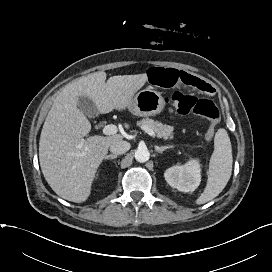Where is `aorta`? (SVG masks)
Here are the masks:
<instances>
[{"instance_id":"762f6f07","label":"aorta","mask_w":272,"mask_h":272,"mask_svg":"<svg viewBox=\"0 0 272 272\" xmlns=\"http://www.w3.org/2000/svg\"><path fill=\"white\" fill-rule=\"evenodd\" d=\"M134 156H135L136 161H138L140 163H145L150 158V152L148 151V149L146 147H139L135 151Z\"/></svg>"}]
</instances>
